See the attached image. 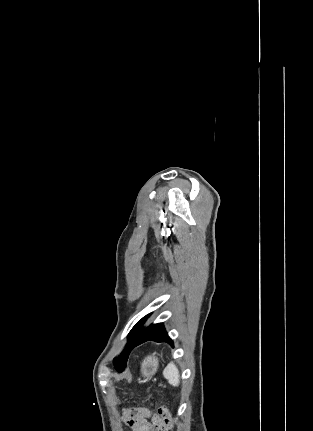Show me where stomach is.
<instances>
[{"label":"stomach","mask_w":313,"mask_h":431,"mask_svg":"<svg viewBox=\"0 0 313 431\" xmlns=\"http://www.w3.org/2000/svg\"><path fill=\"white\" fill-rule=\"evenodd\" d=\"M158 369V359L154 356L146 357L141 364V374L144 378L152 377Z\"/></svg>","instance_id":"stomach-1"}]
</instances>
